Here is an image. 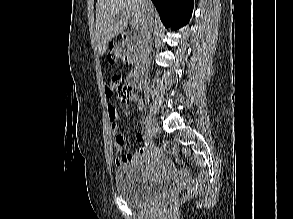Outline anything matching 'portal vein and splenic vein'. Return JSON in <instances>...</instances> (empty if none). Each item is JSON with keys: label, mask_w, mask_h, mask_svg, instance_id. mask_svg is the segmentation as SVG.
Masks as SVG:
<instances>
[{"label": "portal vein and splenic vein", "mask_w": 293, "mask_h": 219, "mask_svg": "<svg viewBox=\"0 0 293 219\" xmlns=\"http://www.w3.org/2000/svg\"><path fill=\"white\" fill-rule=\"evenodd\" d=\"M125 16H126L127 19L128 18H131L132 19V16L129 13L125 14Z\"/></svg>", "instance_id": "portal-vein-and-splenic-vein-1"}]
</instances>
